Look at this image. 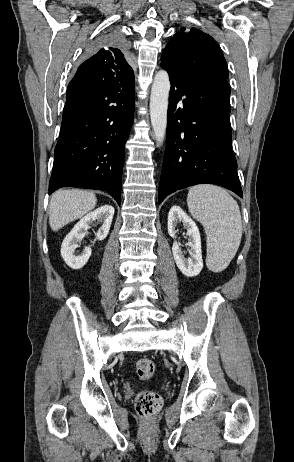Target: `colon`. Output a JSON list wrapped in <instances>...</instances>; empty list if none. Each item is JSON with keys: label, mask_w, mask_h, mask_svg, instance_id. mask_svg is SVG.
Wrapping results in <instances>:
<instances>
[{"label": "colon", "mask_w": 294, "mask_h": 462, "mask_svg": "<svg viewBox=\"0 0 294 462\" xmlns=\"http://www.w3.org/2000/svg\"><path fill=\"white\" fill-rule=\"evenodd\" d=\"M136 372L141 380H148L155 372V364L151 359H140L136 364ZM161 406V397L153 391L142 390L135 397V408L143 418L155 416L161 409Z\"/></svg>", "instance_id": "5ec220e1"}]
</instances>
